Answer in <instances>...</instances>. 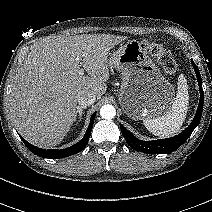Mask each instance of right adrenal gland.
<instances>
[{"label": "right adrenal gland", "instance_id": "1", "mask_svg": "<svg viewBox=\"0 0 212 212\" xmlns=\"http://www.w3.org/2000/svg\"><path fill=\"white\" fill-rule=\"evenodd\" d=\"M84 109H86L85 106H78L77 107V111H76L74 120H76V117L78 116V122H80V120L82 119V114H83Z\"/></svg>", "mask_w": 212, "mask_h": 212}]
</instances>
